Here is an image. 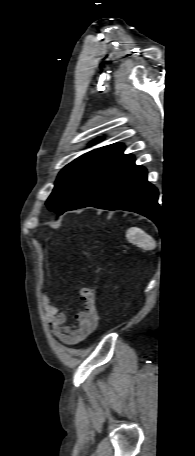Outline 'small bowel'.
I'll return each mask as SVG.
<instances>
[{
    "label": "small bowel",
    "mask_w": 195,
    "mask_h": 456,
    "mask_svg": "<svg viewBox=\"0 0 195 456\" xmlns=\"http://www.w3.org/2000/svg\"><path fill=\"white\" fill-rule=\"evenodd\" d=\"M83 309L76 315L77 325L67 324L66 315L53 305L47 294L41 293V304L44 317L50 332L55 338L66 345H74L84 340L97 327L98 314L95 293L90 288H83L78 293Z\"/></svg>",
    "instance_id": "small-bowel-1"
}]
</instances>
